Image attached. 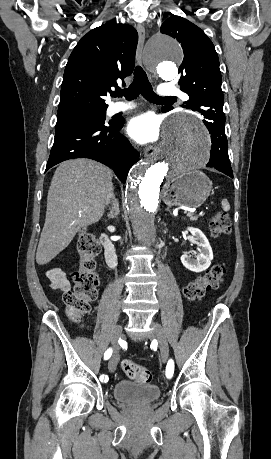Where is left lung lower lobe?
Here are the masks:
<instances>
[{"mask_svg":"<svg viewBox=\"0 0 271 459\" xmlns=\"http://www.w3.org/2000/svg\"><path fill=\"white\" fill-rule=\"evenodd\" d=\"M204 118L205 120H203V122L211 134L212 141L210 160L206 166L214 167L233 178V172L228 157L227 137L224 129L225 117L204 116Z\"/></svg>","mask_w":271,"mask_h":459,"instance_id":"obj_1","label":"left lung lower lobe"}]
</instances>
